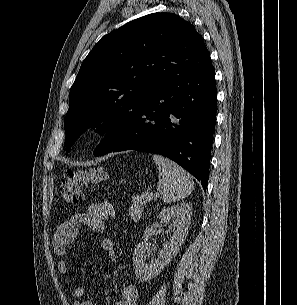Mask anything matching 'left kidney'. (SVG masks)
<instances>
[{
  "label": "left kidney",
  "mask_w": 297,
  "mask_h": 305,
  "mask_svg": "<svg viewBox=\"0 0 297 305\" xmlns=\"http://www.w3.org/2000/svg\"><path fill=\"white\" fill-rule=\"evenodd\" d=\"M192 207L188 202L173 205L159 213V223L146 228L143 242L139 243L134 251L133 266L135 275L140 282H147L156 277L167 264L176 256L188 234L191 223ZM173 222L172 236L169 241L163 242V249L156 259L147 263L146 251L149 248V239L155 234L156 228Z\"/></svg>",
  "instance_id": "obj_1"
}]
</instances>
